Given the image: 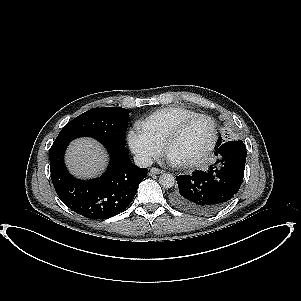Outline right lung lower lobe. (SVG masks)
Returning a JSON list of instances; mask_svg holds the SVG:
<instances>
[{
    "label": "right lung lower lobe",
    "instance_id": "obj_1",
    "mask_svg": "<svg viewBox=\"0 0 301 301\" xmlns=\"http://www.w3.org/2000/svg\"><path fill=\"white\" fill-rule=\"evenodd\" d=\"M97 140L108 149L111 157L103 175L89 181L71 176L64 164V152L71 140H58L50 149L51 179L68 208L90 219H106L128 207L148 170L130 161L125 145L107 139Z\"/></svg>",
    "mask_w": 301,
    "mask_h": 301
}]
</instances>
